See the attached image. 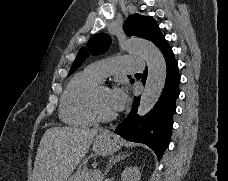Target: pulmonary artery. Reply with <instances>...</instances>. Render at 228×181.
<instances>
[{
    "label": "pulmonary artery",
    "mask_w": 228,
    "mask_h": 181,
    "mask_svg": "<svg viewBox=\"0 0 228 181\" xmlns=\"http://www.w3.org/2000/svg\"><path fill=\"white\" fill-rule=\"evenodd\" d=\"M107 61L93 62V65H89L88 75H94L98 79H104L107 75H112V71L143 70L142 66H138L139 57H116V62H113V57H108Z\"/></svg>",
    "instance_id": "1"
}]
</instances>
